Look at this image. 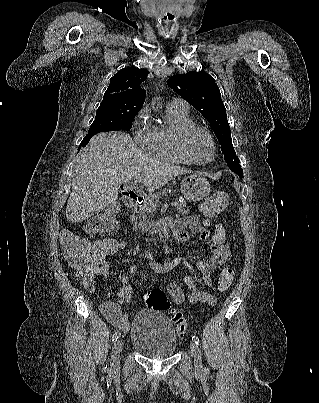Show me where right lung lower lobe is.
<instances>
[{
  "label": "right lung lower lobe",
  "instance_id": "1",
  "mask_svg": "<svg viewBox=\"0 0 319 403\" xmlns=\"http://www.w3.org/2000/svg\"><path fill=\"white\" fill-rule=\"evenodd\" d=\"M113 131H114V130H113ZM98 132H104V131H93V132H89V133L85 136V138L83 139V141L81 142V146H82V147L86 146V145L88 144L89 140L91 139V137H92L93 135H95L96 133H98ZM78 150H80V148H79Z\"/></svg>",
  "mask_w": 319,
  "mask_h": 403
}]
</instances>
